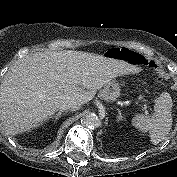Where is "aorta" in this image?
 <instances>
[{
	"label": "aorta",
	"mask_w": 177,
	"mask_h": 177,
	"mask_svg": "<svg viewBox=\"0 0 177 177\" xmlns=\"http://www.w3.org/2000/svg\"><path fill=\"white\" fill-rule=\"evenodd\" d=\"M101 123V119L95 113H89L85 116L84 124L88 127L97 128Z\"/></svg>",
	"instance_id": "aorta-1"
}]
</instances>
